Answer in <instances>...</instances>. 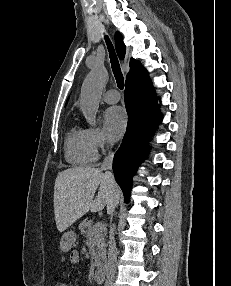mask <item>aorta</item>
Here are the masks:
<instances>
[{"mask_svg":"<svg viewBox=\"0 0 231 286\" xmlns=\"http://www.w3.org/2000/svg\"><path fill=\"white\" fill-rule=\"evenodd\" d=\"M107 80V70L103 67H97L90 71L82 84L80 108L86 121L92 126L96 125L101 91Z\"/></svg>","mask_w":231,"mask_h":286,"instance_id":"1","label":"aorta"}]
</instances>
